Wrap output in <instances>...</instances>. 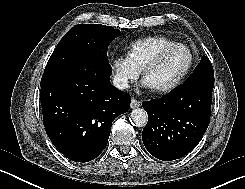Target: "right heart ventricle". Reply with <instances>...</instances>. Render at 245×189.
Here are the masks:
<instances>
[{"label":"right heart ventricle","mask_w":245,"mask_h":189,"mask_svg":"<svg viewBox=\"0 0 245 189\" xmlns=\"http://www.w3.org/2000/svg\"><path fill=\"white\" fill-rule=\"evenodd\" d=\"M175 43L165 35H153L131 42L126 46V56L131 64L139 71L164 46Z\"/></svg>","instance_id":"obj_1"}]
</instances>
